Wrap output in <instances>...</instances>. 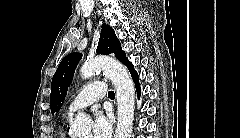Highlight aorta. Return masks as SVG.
<instances>
[{"mask_svg":"<svg viewBox=\"0 0 240 138\" xmlns=\"http://www.w3.org/2000/svg\"><path fill=\"white\" fill-rule=\"evenodd\" d=\"M98 71H103L116 89L117 99V127L115 138H131L135 108V88L131 76L126 68L117 60L109 57H97L86 61L80 74L83 79L90 78ZM91 129V120L83 113H78L71 127L75 137L88 136Z\"/></svg>","mask_w":240,"mask_h":138,"instance_id":"1","label":"aorta"}]
</instances>
